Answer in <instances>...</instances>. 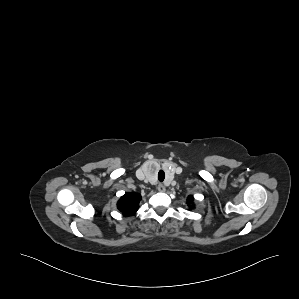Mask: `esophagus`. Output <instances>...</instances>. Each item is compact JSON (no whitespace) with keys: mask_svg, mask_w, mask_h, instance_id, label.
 I'll return each instance as SVG.
<instances>
[{"mask_svg":"<svg viewBox=\"0 0 299 299\" xmlns=\"http://www.w3.org/2000/svg\"><path fill=\"white\" fill-rule=\"evenodd\" d=\"M158 191L160 192H165L166 188L163 184H159L158 187H157Z\"/></svg>","mask_w":299,"mask_h":299,"instance_id":"34e87169","label":"esophagus"}]
</instances>
